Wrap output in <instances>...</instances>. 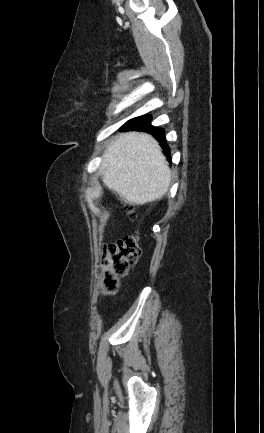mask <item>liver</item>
<instances>
[{
	"mask_svg": "<svg viewBox=\"0 0 264 433\" xmlns=\"http://www.w3.org/2000/svg\"><path fill=\"white\" fill-rule=\"evenodd\" d=\"M104 184L129 204L144 205L166 194L171 172L159 143L149 134H121L101 162Z\"/></svg>",
	"mask_w": 264,
	"mask_h": 433,
	"instance_id": "liver-1",
	"label": "liver"
}]
</instances>
